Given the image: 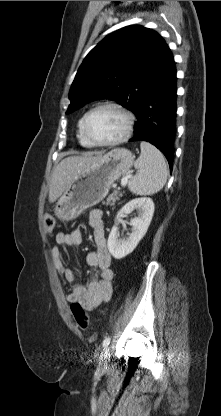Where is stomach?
Listing matches in <instances>:
<instances>
[{
    "instance_id": "stomach-1",
    "label": "stomach",
    "mask_w": 221,
    "mask_h": 416,
    "mask_svg": "<svg viewBox=\"0 0 221 416\" xmlns=\"http://www.w3.org/2000/svg\"><path fill=\"white\" fill-rule=\"evenodd\" d=\"M134 155L125 148H116L80 172L69 184L54 208L57 218L69 221L98 204L111 185L133 165Z\"/></svg>"
}]
</instances>
